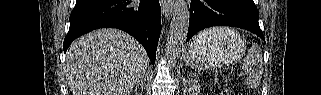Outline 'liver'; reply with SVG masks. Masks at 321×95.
Listing matches in <instances>:
<instances>
[{"mask_svg":"<svg viewBox=\"0 0 321 95\" xmlns=\"http://www.w3.org/2000/svg\"><path fill=\"white\" fill-rule=\"evenodd\" d=\"M144 48L117 29L95 30L76 39L64 72L72 95H125L145 77Z\"/></svg>","mask_w":321,"mask_h":95,"instance_id":"obj_1","label":"liver"}]
</instances>
